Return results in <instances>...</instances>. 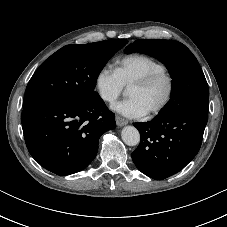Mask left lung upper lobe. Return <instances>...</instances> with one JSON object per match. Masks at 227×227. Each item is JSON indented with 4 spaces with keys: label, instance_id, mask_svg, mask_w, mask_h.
Instances as JSON below:
<instances>
[{
    "label": "left lung upper lobe",
    "instance_id": "left-lung-upper-lobe-1",
    "mask_svg": "<svg viewBox=\"0 0 227 227\" xmlns=\"http://www.w3.org/2000/svg\"><path fill=\"white\" fill-rule=\"evenodd\" d=\"M125 53L141 52L164 63L172 77L171 99L158 116L179 112L208 115L209 89L202 69L192 52L173 40L139 39Z\"/></svg>",
    "mask_w": 227,
    "mask_h": 227
}]
</instances>
